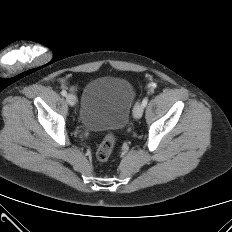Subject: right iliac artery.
Listing matches in <instances>:
<instances>
[{"label":"right iliac artery","mask_w":232,"mask_h":232,"mask_svg":"<svg viewBox=\"0 0 232 232\" xmlns=\"http://www.w3.org/2000/svg\"><path fill=\"white\" fill-rule=\"evenodd\" d=\"M61 95H62V96H66V95H67V92H66L65 90H62V91H61Z\"/></svg>","instance_id":"82829eb1"}]
</instances>
